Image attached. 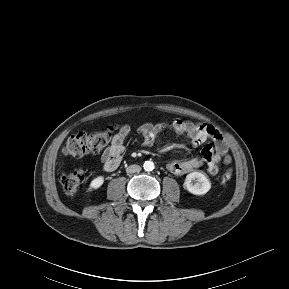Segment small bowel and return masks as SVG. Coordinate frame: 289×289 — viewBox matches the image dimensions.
<instances>
[{"mask_svg":"<svg viewBox=\"0 0 289 289\" xmlns=\"http://www.w3.org/2000/svg\"><path fill=\"white\" fill-rule=\"evenodd\" d=\"M171 126L176 135H186L190 137L194 148L201 147L208 139L212 141V146L203 147L200 156L179 158L169 162L167 168L171 173L181 175L206 166L210 175H216L221 164L228 165L231 163L227 143L214 127L196 121H185L179 118H174L171 121ZM155 130L156 124L152 122L139 126L138 131L144 135V144L146 146L152 144ZM130 133L131 128L123 125L119 127L117 132L111 137L110 143L103 151L101 157L102 168L105 171H113L121 163L125 152L124 143Z\"/></svg>","mask_w":289,"mask_h":289,"instance_id":"obj_1","label":"small bowel"}]
</instances>
